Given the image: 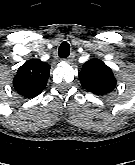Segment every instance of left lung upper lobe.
<instances>
[{
  "label": "left lung upper lobe",
  "instance_id": "left-lung-upper-lobe-1",
  "mask_svg": "<svg viewBox=\"0 0 135 165\" xmlns=\"http://www.w3.org/2000/svg\"><path fill=\"white\" fill-rule=\"evenodd\" d=\"M82 86L91 93L104 95L116 87V79L110 67L99 59L87 61L79 73Z\"/></svg>",
  "mask_w": 135,
  "mask_h": 165
}]
</instances>
